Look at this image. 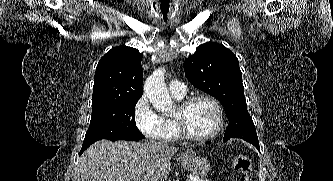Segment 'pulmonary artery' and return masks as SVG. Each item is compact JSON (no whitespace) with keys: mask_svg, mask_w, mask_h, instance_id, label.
<instances>
[{"mask_svg":"<svg viewBox=\"0 0 333 181\" xmlns=\"http://www.w3.org/2000/svg\"><path fill=\"white\" fill-rule=\"evenodd\" d=\"M169 90L172 96L182 98L185 96L187 88L180 80H173L169 84Z\"/></svg>","mask_w":333,"mask_h":181,"instance_id":"pulmonary-artery-1","label":"pulmonary artery"}]
</instances>
